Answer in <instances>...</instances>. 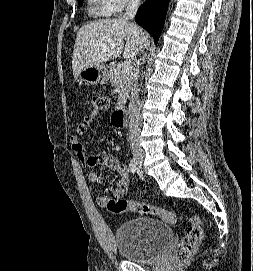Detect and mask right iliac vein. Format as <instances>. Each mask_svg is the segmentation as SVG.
<instances>
[{
	"mask_svg": "<svg viewBox=\"0 0 253 271\" xmlns=\"http://www.w3.org/2000/svg\"><path fill=\"white\" fill-rule=\"evenodd\" d=\"M133 156H134L135 161L141 165L144 160V152L143 151H134Z\"/></svg>",
	"mask_w": 253,
	"mask_h": 271,
	"instance_id": "63e3f726",
	"label": "right iliac vein"
}]
</instances>
